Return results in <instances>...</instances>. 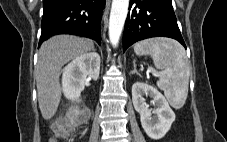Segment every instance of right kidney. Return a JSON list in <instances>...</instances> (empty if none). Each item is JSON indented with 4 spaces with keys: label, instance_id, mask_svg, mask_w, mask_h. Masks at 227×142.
Here are the masks:
<instances>
[{
    "label": "right kidney",
    "instance_id": "1",
    "mask_svg": "<svg viewBox=\"0 0 227 142\" xmlns=\"http://www.w3.org/2000/svg\"><path fill=\"white\" fill-rule=\"evenodd\" d=\"M100 72V56L90 52L78 56L63 70L62 88L64 96L72 102H80V94L87 77L97 80Z\"/></svg>",
    "mask_w": 227,
    "mask_h": 142
}]
</instances>
